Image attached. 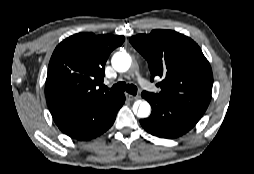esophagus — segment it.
I'll use <instances>...</instances> for the list:
<instances>
[{
    "label": "esophagus",
    "mask_w": 254,
    "mask_h": 174,
    "mask_svg": "<svg viewBox=\"0 0 254 174\" xmlns=\"http://www.w3.org/2000/svg\"><path fill=\"white\" fill-rule=\"evenodd\" d=\"M139 97L138 96H134V95H131V94H126V99L128 101H134V100H137Z\"/></svg>",
    "instance_id": "esophagus-1"
}]
</instances>
